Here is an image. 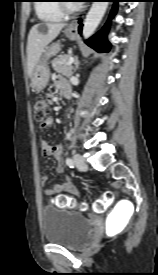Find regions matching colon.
I'll return each instance as SVG.
<instances>
[{"mask_svg": "<svg viewBox=\"0 0 158 275\" xmlns=\"http://www.w3.org/2000/svg\"><path fill=\"white\" fill-rule=\"evenodd\" d=\"M49 103V99L42 96H36L33 99L34 117L37 121L42 122V126L44 125L49 113ZM113 200V193L111 191L105 192L102 198L94 204V211L96 213L104 212ZM51 203L59 208H73L77 205L75 199L67 196H57L51 200ZM81 208L85 209L86 206L82 205Z\"/></svg>", "mask_w": 158, "mask_h": 275, "instance_id": "obj_1", "label": "colon"}]
</instances>
